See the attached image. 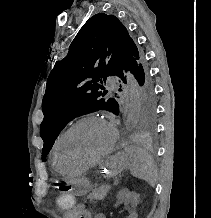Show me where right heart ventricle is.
Listing matches in <instances>:
<instances>
[{
    "label": "right heart ventricle",
    "instance_id": "e07e8e85",
    "mask_svg": "<svg viewBox=\"0 0 211 218\" xmlns=\"http://www.w3.org/2000/svg\"><path fill=\"white\" fill-rule=\"evenodd\" d=\"M57 142H56V144H57ZM56 144L54 146V152H53L54 159H55V147H56ZM50 164L54 165V169H59V161L58 160H51Z\"/></svg>",
    "mask_w": 211,
    "mask_h": 218
}]
</instances>
